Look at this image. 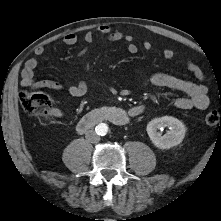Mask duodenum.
<instances>
[{
  "instance_id": "410a0bca",
  "label": "duodenum",
  "mask_w": 221,
  "mask_h": 221,
  "mask_svg": "<svg viewBox=\"0 0 221 221\" xmlns=\"http://www.w3.org/2000/svg\"><path fill=\"white\" fill-rule=\"evenodd\" d=\"M144 111V107L137 106L135 115L130 112L127 113L125 110L118 106H106L101 107L83 116L77 123L76 130L79 133H85L98 123L102 121H108L118 126H124L129 123L132 116H138Z\"/></svg>"
}]
</instances>
